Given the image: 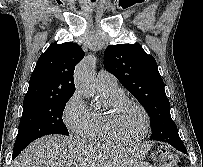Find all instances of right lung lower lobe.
I'll return each mask as SVG.
<instances>
[{
	"label": "right lung lower lobe",
	"mask_w": 203,
	"mask_h": 167,
	"mask_svg": "<svg viewBox=\"0 0 203 167\" xmlns=\"http://www.w3.org/2000/svg\"><path fill=\"white\" fill-rule=\"evenodd\" d=\"M18 155V154H17ZM17 155H13V158H15Z\"/></svg>",
	"instance_id": "right-lung-lower-lobe-1"
}]
</instances>
